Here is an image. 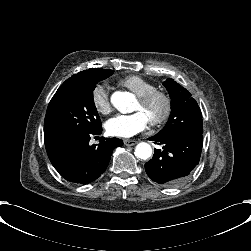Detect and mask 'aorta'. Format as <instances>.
<instances>
[{
    "mask_svg": "<svg viewBox=\"0 0 251 251\" xmlns=\"http://www.w3.org/2000/svg\"><path fill=\"white\" fill-rule=\"evenodd\" d=\"M134 97L128 92L116 91L111 96V103L121 113H128L131 110V104ZM135 156L142 160H147L152 155V148L146 142H140L135 147Z\"/></svg>",
    "mask_w": 251,
    "mask_h": 251,
    "instance_id": "obj_1",
    "label": "aorta"
}]
</instances>
